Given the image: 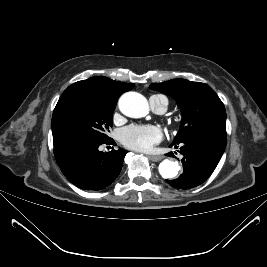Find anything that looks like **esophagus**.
Wrapping results in <instances>:
<instances>
[{"mask_svg":"<svg viewBox=\"0 0 267 267\" xmlns=\"http://www.w3.org/2000/svg\"><path fill=\"white\" fill-rule=\"evenodd\" d=\"M148 157L153 162H158V161L162 160V158H163V156H160V155H149Z\"/></svg>","mask_w":267,"mask_h":267,"instance_id":"34e87169","label":"esophagus"}]
</instances>
